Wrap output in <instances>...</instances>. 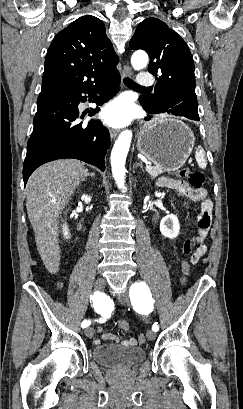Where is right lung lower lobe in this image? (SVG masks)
Masks as SVG:
<instances>
[{
	"label": "right lung lower lobe",
	"mask_w": 243,
	"mask_h": 409,
	"mask_svg": "<svg viewBox=\"0 0 243 409\" xmlns=\"http://www.w3.org/2000/svg\"><path fill=\"white\" fill-rule=\"evenodd\" d=\"M119 83L120 75L116 73L97 85L38 97L34 129L23 165L24 184L36 168L56 159H79L105 170L104 157L110 146L108 129L99 121H90L88 125L78 123V105L87 100L83 93L102 105L117 93ZM95 112L91 109L89 115Z\"/></svg>",
	"instance_id": "right-lung-lower-lobe-1"
}]
</instances>
